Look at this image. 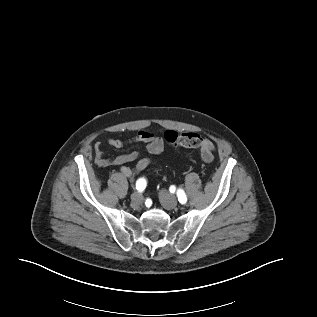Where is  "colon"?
Wrapping results in <instances>:
<instances>
[{"mask_svg":"<svg viewBox=\"0 0 317 317\" xmlns=\"http://www.w3.org/2000/svg\"><path fill=\"white\" fill-rule=\"evenodd\" d=\"M165 141L173 147L196 148L200 147L202 137L195 132H176L166 131L164 134Z\"/></svg>","mask_w":317,"mask_h":317,"instance_id":"5ec220e1","label":"colon"}]
</instances>
